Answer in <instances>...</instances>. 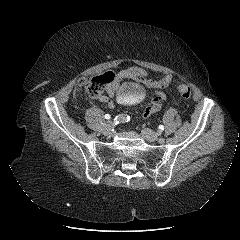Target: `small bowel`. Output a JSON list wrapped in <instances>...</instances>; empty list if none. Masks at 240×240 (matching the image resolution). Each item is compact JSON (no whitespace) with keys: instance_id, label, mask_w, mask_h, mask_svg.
Masks as SVG:
<instances>
[{"instance_id":"obj_1","label":"small bowel","mask_w":240,"mask_h":240,"mask_svg":"<svg viewBox=\"0 0 240 240\" xmlns=\"http://www.w3.org/2000/svg\"><path fill=\"white\" fill-rule=\"evenodd\" d=\"M112 74L114 78L113 81L106 87V95H100L96 98L102 102L107 101V106L109 108H114L116 106V101L109 98H114L117 95L119 83L122 80L134 79L136 81L142 82L147 87L155 90V93L151 98L150 104L144 111V117L152 115L161 108L162 103L166 100V95L163 90L167 88L173 81V77L170 74H165L158 80L150 79L148 73L139 67L125 68L119 70L115 74Z\"/></svg>"}]
</instances>
